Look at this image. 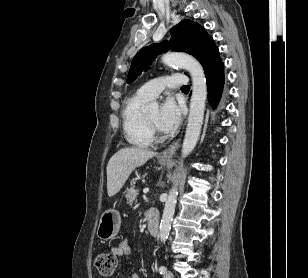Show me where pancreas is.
<instances>
[{"instance_id":"cf45deb5","label":"pancreas","mask_w":308,"mask_h":278,"mask_svg":"<svg viewBox=\"0 0 308 278\" xmlns=\"http://www.w3.org/2000/svg\"><path fill=\"white\" fill-rule=\"evenodd\" d=\"M137 195H138V189L134 187L127 189V194H126L127 204L132 205V203L136 202Z\"/></svg>"}]
</instances>
